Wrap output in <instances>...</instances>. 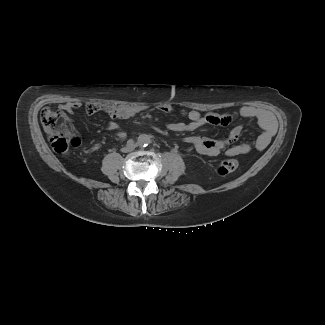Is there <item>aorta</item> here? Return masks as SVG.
Segmentation results:
<instances>
[{
  "label": "aorta",
  "mask_w": 325,
  "mask_h": 325,
  "mask_svg": "<svg viewBox=\"0 0 325 325\" xmlns=\"http://www.w3.org/2000/svg\"><path fill=\"white\" fill-rule=\"evenodd\" d=\"M150 142H151L150 136L147 134H141L137 139V143L140 147H146L150 144Z\"/></svg>",
  "instance_id": "obj_1"
}]
</instances>
